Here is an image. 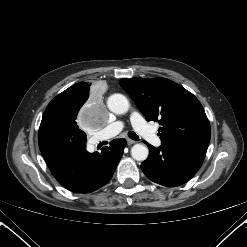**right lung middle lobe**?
<instances>
[{
  "instance_id": "right-lung-middle-lobe-1",
  "label": "right lung middle lobe",
  "mask_w": 247,
  "mask_h": 247,
  "mask_svg": "<svg viewBox=\"0 0 247 247\" xmlns=\"http://www.w3.org/2000/svg\"><path fill=\"white\" fill-rule=\"evenodd\" d=\"M90 99L82 100L72 93L62 92L48 104L43 116L59 117L76 123L80 108Z\"/></svg>"
}]
</instances>
